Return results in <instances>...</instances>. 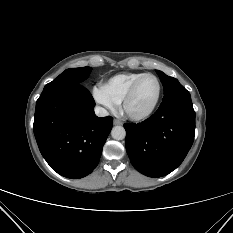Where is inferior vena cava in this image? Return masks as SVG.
Masks as SVG:
<instances>
[{"label": "inferior vena cava", "instance_id": "602c4592", "mask_svg": "<svg viewBox=\"0 0 233 233\" xmlns=\"http://www.w3.org/2000/svg\"><path fill=\"white\" fill-rule=\"evenodd\" d=\"M94 111L98 117H105V116H108V114H109L105 108L100 107V106H96Z\"/></svg>", "mask_w": 233, "mask_h": 233}]
</instances>
